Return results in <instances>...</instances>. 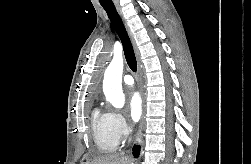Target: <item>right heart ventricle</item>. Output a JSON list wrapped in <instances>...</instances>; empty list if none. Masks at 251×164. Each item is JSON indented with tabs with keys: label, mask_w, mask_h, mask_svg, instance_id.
Instances as JSON below:
<instances>
[{
	"label": "right heart ventricle",
	"mask_w": 251,
	"mask_h": 164,
	"mask_svg": "<svg viewBox=\"0 0 251 164\" xmlns=\"http://www.w3.org/2000/svg\"><path fill=\"white\" fill-rule=\"evenodd\" d=\"M91 128L95 145L100 153L109 154L117 149L119 139L112 129L110 113L95 108L91 115Z\"/></svg>",
	"instance_id": "1"
}]
</instances>
